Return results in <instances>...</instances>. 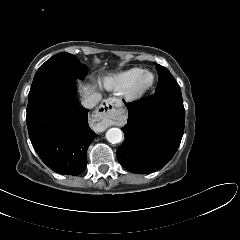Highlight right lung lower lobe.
Masks as SVG:
<instances>
[{"instance_id": "obj_1", "label": "right lung lower lobe", "mask_w": 240, "mask_h": 240, "mask_svg": "<svg viewBox=\"0 0 240 240\" xmlns=\"http://www.w3.org/2000/svg\"><path fill=\"white\" fill-rule=\"evenodd\" d=\"M28 100L29 137L41 160L57 173L81 174L87 165V149L97 134L88 125V110L77 105L75 81L49 82Z\"/></svg>"}]
</instances>
